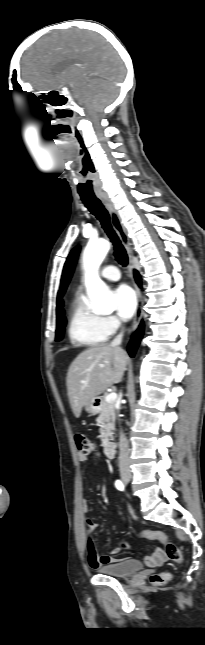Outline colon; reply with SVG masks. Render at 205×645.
<instances>
[{
    "instance_id": "obj_1",
    "label": "colon",
    "mask_w": 205,
    "mask_h": 645,
    "mask_svg": "<svg viewBox=\"0 0 205 645\" xmlns=\"http://www.w3.org/2000/svg\"><path fill=\"white\" fill-rule=\"evenodd\" d=\"M75 443L80 455L89 456L94 452V442L92 441V439L85 435H76ZM140 536L143 538L159 540L163 542L166 548V555L170 560L176 563H181L183 561V554L181 549L164 533L160 531H146L141 533ZM122 546L126 547V544L123 543ZM150 580L154 585H164L171 580V574L168 572L156 573L151 576Z\"/></svg>"
}]
</instances>
